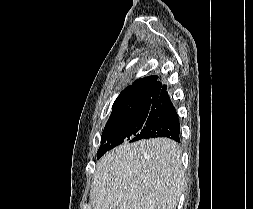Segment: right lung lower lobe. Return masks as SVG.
<instances>
[{
    "label": "right lung lower lobe",
    "mask_w": 253,
    "mask_h": 209,
    "mask_svg": "<svg viewBox=\"0 0 253 209\" xmlns=\"http://www.w3.org/2000/svg\"><path fill=\"white\" fill-rule=\"evenodd\" d=\"M151 109L159 111V116L153 127L140 134L142 139L167 137L180 142V123L176 109L170 96L166 93L161 99L154 102Z\"/></svg>",
    "instance_id": "right-lung-lower-lobe-1"
}]
</instances>
